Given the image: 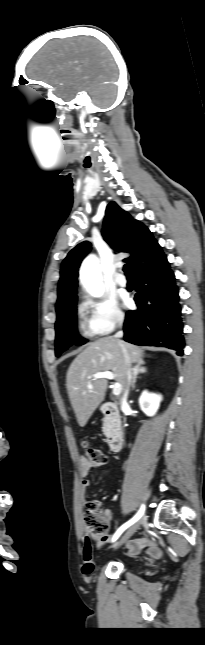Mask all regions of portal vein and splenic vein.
<instances>
[{"label": "portal vein and splenic vein", "mask_w": 205, "mask_h": 645, "mask_svg": "<svg viewBox=\"0 0 205 645\" xmlns=\"http://www.w3.org/2000/svg\"><path fill=\"white\" fill-rule=\"evenodd\" d=\"M99 378H107V379H114V374L110 371H104V372H98L93 375V379H99ZM88 388H92L91 384H88ZM122 391V386L119 383H115L113 385V395L118 396L121 394Z\"/></svg>", "instance_id": "portal-vein-and-splenic-vein-1"}]
</instances>
